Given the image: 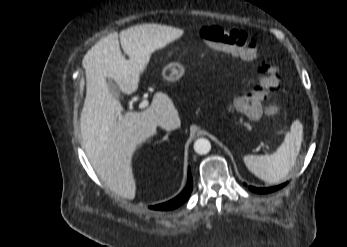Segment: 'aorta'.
Segmentation results:
<instances>
[{"instance_id":"1","label":"aorta","mask_w":347,"mask_h":247,"mask_svg":"<svg viewBox=\"0 0 347 247\" xmlns=\"http://www.w3.org/2000/svg\"><path fill=\"white\" fill-rule=\"evenodd\" d=\"M211 150V143L206 138H199L194 142V151L199 155H205Z\"/></svg>"}]
</instances>
